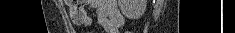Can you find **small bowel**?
<instances>
[{
  "instance_id": "obj_1",
  "label": "small bowel",
  "mask_w": 235,
  "mask_h": 33,
  "mask_svg": "<svg viewBox=\"0 0 235 33\" xmlns=\"http://www.w3.org/2000/svg\"><path fill=\"white\" fill-rule=\"evenodd\" d=\"M88 3L93 9L95 19L103 26L106 33L120 32L125 21L116 0H90ZM92 22V17L88 16L84 24L90 26Z\"/></svg>"
}]
</instances>
